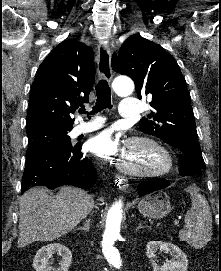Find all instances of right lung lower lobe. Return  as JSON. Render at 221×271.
Masks as SVG:
<instances>
[{
	"mask_svg": "<svg viewBox=\"0 0 221 271\" xmlns=\"http://www.w3.org/2000/svg\"><path fill=\"white\" fill-rule=\"evenodd\" d=\"M95 180L92 162L81 153V144H76L71 149L43 151L26 158L21 194L34 186L90 188Z\"/></svg>",
	"mask_w": 221,
	"mask_h": 271,
	"instance_id": "right-lung-lower-lobe-1",
	"label": "right lung lower lobe"
}]
</instances>
